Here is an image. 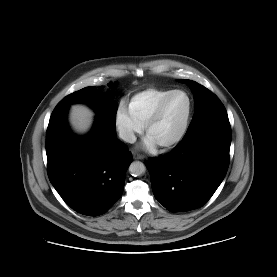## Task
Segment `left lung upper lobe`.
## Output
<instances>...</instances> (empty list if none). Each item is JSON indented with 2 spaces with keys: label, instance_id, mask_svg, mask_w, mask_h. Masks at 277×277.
Instances as JSON below:
<instances>
[{
  "label": "left lung upper lobe",
  "instance_id": "1",
  "mask_svg": "<svg viewBox=\"0 0 277 277\" xmlns=\"http://www.w3.org/2000/svg\"><path fill=\"white\" fill-rule=\"evenodd\" d=\"M179 81L187 84L195 97V113L188 129L213 116L226 113L221 101L207 88L195 81L187 79H180Z\"/></svg>",
  "mask_w": 277,
  "mask_h": 277
}]
</instances>
